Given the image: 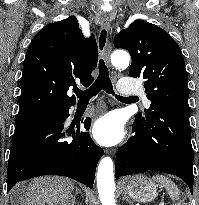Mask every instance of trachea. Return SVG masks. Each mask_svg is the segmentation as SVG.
I'll return each mask as SVG.
<instances>
[{"label":"trachea","instance_id":"1","mask_svg":"<svg viewBox=\"0 0 199 205\" xmlns=\"http://www.w3.org/2000/svg\"><path fill=\"white\" fill-rule=\"evenodd\" d=\"M106 30L101 31V35L99 37V46L100 50H102L106 43ZM99 76L96 81L87 89V90H74L76 96L80 101L89 100L93 96L97 95L102 89L108 94H114L113 86L109 77V71L103 59L99 60ZM117 99H125L126 97L116 96Z\"/></svg>","mask_w":199,"mask_h":205}]
</instances>
